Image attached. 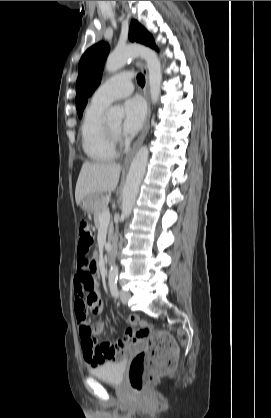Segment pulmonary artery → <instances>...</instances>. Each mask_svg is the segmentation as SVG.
<instances>
[{
	"label": "pulmonary artery",
	"mask_w": 271,
	"mask_h": 418,
	"mask_svg": "<svg viewBox=\"0 0 271 418\" xmlns=\"http://www.w3.org/2000/svg\"><path fill=\"white\" fill-rule=\"evenodd\" d=\"M133 89L132 73L123 71L106 80L93 94L92 102L109 105L130 95Z\"/></svg>",
	"instance_id": "1"
}]
</instances>
